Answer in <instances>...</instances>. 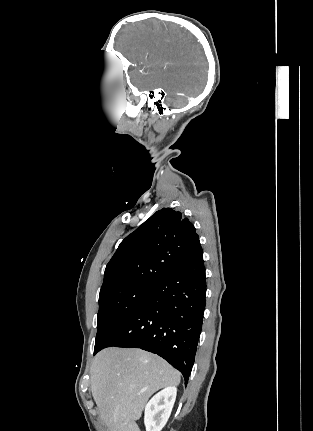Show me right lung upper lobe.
Listing matches in <instances>:
<instances>
[{"instance_id": "1", "label": "right lung upper lobe", "mask_w": 313, "mask_h": 431, "mask_svg": "<svg viewBox=\"0 0 313 431\" xmlns=\"http://www.w3.org/2000/svg\"><path fill=\"white\" fill-rule=\"evenodd\" d=\"M198 241L181 212L163 208L128 235L106 266L100 295L157 286L187 257Z\"/></svg>"}]
</instances>
